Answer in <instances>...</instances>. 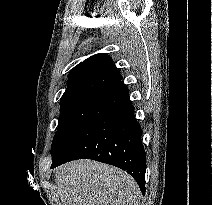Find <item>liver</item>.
Returning a JSON list of instances; mask_svg holds the SVG:
<instances>
[{
	"mask_svg": "<svg viewBox=\"0 0 212 205\" xmlns=\"http://www.w3.org/2000/svg\"><path fill=\"white\" fill-rule=\"evenodd\" d=\"M62 205H138L136 181L122 170L92 160H77L56 169Z\"/></svg>",
	"mask_w": 212,
	"mask_h": 205,
	"instance_id": "1",
	"label": "liver"
}]
</instances>
